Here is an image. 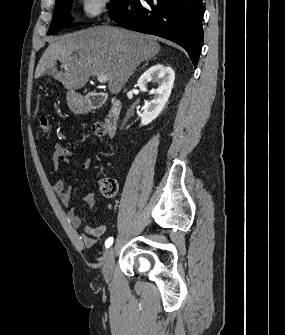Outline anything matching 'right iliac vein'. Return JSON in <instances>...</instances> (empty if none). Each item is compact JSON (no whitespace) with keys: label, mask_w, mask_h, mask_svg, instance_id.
Listing matches in <instances>:
<instances>
[{"label":"right iliac vein","mask_w":285,"mask_h":335,"mask_svg":"<svg viewBox=\"0 0 285 335\" xmlns=\"http://www.w3.org/2000/svg\"><path fill=\"white\" fill-rule=\"evenodd\" d=\"M115 249L114 247L109 248L104 257L103 277L107 283L111 281L112 270L114 264Z\"/></svg>","instance_id":"1"}]
</instances>
